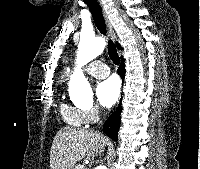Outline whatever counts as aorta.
Listing matches in <instances>:
<instances>
[{
  "mask_svg": "<svg viewBox=\"0 0 200 169\" xmlns=\"http://www.w3.org/2000/svg\"><path fill=\"white\" fill-rule=\"evenodd\" d=\"M105 45L106 42L102 37L90 35H82L80 37L76 55L77 68L69 82V93L74 101H79L81 99L92 100V88L81 72V67L99 56L103 52ZM96 169L106 168L104 166H97Z\"/></svg>",
  "mask_w": 200,
  "mask_h": 169,
  "instance_id": "1",
  "label": "aorta"
}]
</instances>
